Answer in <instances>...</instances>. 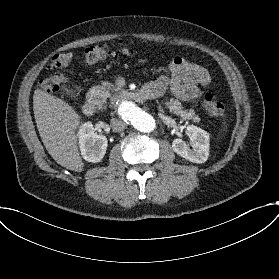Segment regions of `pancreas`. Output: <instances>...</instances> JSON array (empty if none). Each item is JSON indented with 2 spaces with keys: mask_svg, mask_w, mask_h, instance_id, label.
<instances>
[{
  "mask_svg": "<svg viewBox=\"0 0 279 279\" xmlns=\"http://www.w3.org/2000/svg\"><path fill=\"white\" fill-rule=\"evenodd\" d=\"M113 86H114L113 83L106 81V82H102L98 86H94L93 88L97 94V97L101 100V102L107 103V99L112 96L111 91ZM162 105H164L165 108H169L170 113L176 114L177 116H180L183 119H187V120L192 119L195 122L200 121V119L197 116H195L194 110L191 109L189 112H187L186 109L182 107V104L179 100L166 97L162 101Z\"/></svg>",
  "mask_w": 279,
  "mask_h": 279,
  "instance_id": "obj_1",
  "label": "pancreas"
}]
</instances>
